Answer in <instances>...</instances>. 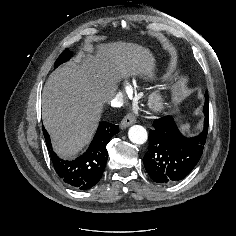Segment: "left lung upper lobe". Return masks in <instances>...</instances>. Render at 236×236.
<instances>
[{
	"label": "left lung upper lobe",
	"instance_id": "left-lung-upper-lobe-1",
	"mask_svg": "<svg viewBox=\"0 0 236 236\" xmlns=\"http://www.w3.org/2000/svg\"><path fill=\"white\" fill-rule=\"evenodd\" d=\"M203 112H209V102H208V92L205 93V104L203 108Z\"/></svg>",
	"mask_w": 236,
	"mask_h": 236
}]
</instances>
